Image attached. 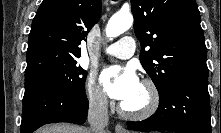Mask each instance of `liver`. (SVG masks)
Masks as SVG:
<instances>
[{
	"instance_id": "liver-1",
	"label": "liver",
	"mask_w": 221,
	"mask_h": 133,
	"mask_svg": "<svg viewBox=\"0 0 221 133\" xmlns=\"http://www.w3.org/2000/svg\"><path fill=\"white\" fill-rule=\"evenodd\" d=\"M37 133H89V129L67 123H59L47 125L39 129Z\"/></svg>"
}]
</instances>
